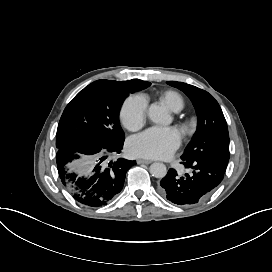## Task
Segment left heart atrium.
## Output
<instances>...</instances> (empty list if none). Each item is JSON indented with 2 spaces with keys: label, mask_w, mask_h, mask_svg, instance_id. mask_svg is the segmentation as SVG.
I'll return each mask as SVG.
<instances>
[{
  "label": "left heart atrium",
  "mask_w": 272,
  "mask_h": 272,
  "mask_svg": "<svg viewBox=\"0 0 272 272\" xmlns=\"http://www.w3.org/2000/svg\"><path fill=\"white\" fill-rule=\"evenodd\" d=\"M180 137L172 128L152 127L133 139L128 152L134 156L165 159L179 146Z\"/></svg>",
  "instance_id": "1"
}]
</instances>
